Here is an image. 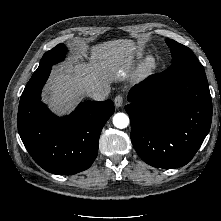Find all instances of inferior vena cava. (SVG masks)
<instances>
[{
    "label": "inferior vena cava",
    "mask_w": 221,
    "mask_h": 221,
    "mask_svg": "<svg viewBox=\"0 0 221 221\" xmlns=\"http://www.w3.org/2000/svg\"><path fill=\"white\" fill-rule=\"evenodd\" d=\"M109 92H110V87L102 86L88 92V96L95 101H103L108 97Z\"/></svg>",
    "instance_id": "inferior-vena-cava-1"
}]
</instances>
